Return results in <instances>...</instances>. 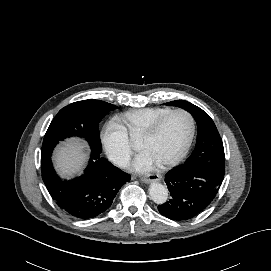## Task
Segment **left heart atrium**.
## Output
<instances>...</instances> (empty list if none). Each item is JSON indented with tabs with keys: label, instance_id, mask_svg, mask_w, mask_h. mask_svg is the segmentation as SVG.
Segmentation results:
<instances>
[{
	"label": "left heart atrium",
	"instance_id": "obj_1",
	"mask_svg": "<svg viewBox=\"0 0 271 271\" xmlns=\"http://www.w3.org/2000/svg\"><path fill=\"white\" fill-rule=\"evenodd\" d=\"M157 164L156 159L148 151L143 150L135 157L132 168L136 172H147L152 170Z\"/></svg>",
	"mask_w": 271,
	"mask_h": 271
}]
</instances>
